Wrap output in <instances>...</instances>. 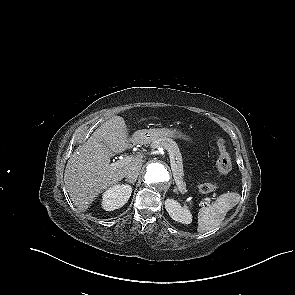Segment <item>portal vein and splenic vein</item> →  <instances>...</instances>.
Segmentation results:
<instances>
[{
  "instance_id": "portal-vein-and-splenic-vein-1",
  "label": "portal vein and splenic vein",
  "mask_w": 295,
  "mask_h": 295,
  "mask_svg": "<svg viewBox=\"0 0 295 295\" xmlns=\"http://www.w3.org/2000/svg\"><path fill=\"white\" fill-rule=\"evenodd\" d=\"M168 152H169V157H170V162H171V168H172V170H174V166H175L174 157H173V154H172L170 151H168ZM133 159H134L133 156H126V157L121 158L120 160H118V161L116 162V165H117V166H123V165H126V164H128L129 162H131ZM175 182H176V181H175ZM176 184H177V186L179 187V183L176 182ZM211 201H212L211 198L206 197V198L203 199V203H202V204L209 205V204L211 203Z\"/></svg>"
}]
</instances>
